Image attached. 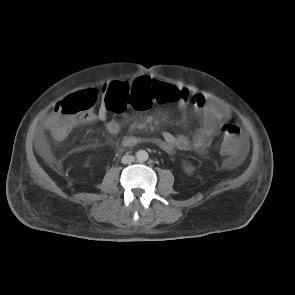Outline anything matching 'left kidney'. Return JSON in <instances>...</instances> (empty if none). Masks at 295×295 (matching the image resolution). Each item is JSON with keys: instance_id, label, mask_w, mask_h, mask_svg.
I'll use <instances>...</instances> for the list:
<instances>
[{"instance_id": "1", "label": "left kidney", "mask_w": 295, "mask_h": 295, "mask_svg": "<svg viewBox=\"0 0 295 295\" xmlns=\"http://www.w3.org/2000/svg\"><path fill=\"white\" fill-rule=\"evenodd\" d=\"M185 171H186V173H191L192 172V169L191 168H189V167H185Z\"/></svg>"}]
</instances>
